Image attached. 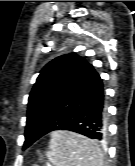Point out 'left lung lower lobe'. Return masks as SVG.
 Segmentation results:
<instances>
[{"label": "left lung lower lobe", "instance_id": "obj_1", "mask_svg": "<svg viewBox=\"0 0 135 166\" xmlns=\"http://www.w3.org/2000/svg\"><path fill=\"white\" fill-rule=\"evenodd\" d=\"M106 113L102 79L87 63L70 91L64 108L43 124L27 123L23 149L55 130H69L101 141L106 135Z\"/></svg>", "mask_w": 135, "mask_h": 166}]
</instances>
